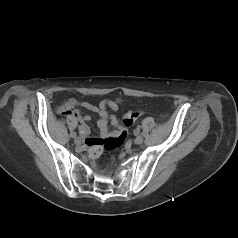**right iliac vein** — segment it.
<instances>
[{"label": "right iliac vein", "mask_w": 238, "mask_h": 238, "mask_svg": "<svg viewBox=\"0 0 238 238\" xmlns=\"http://www.w3.org/2000/svg\"><path fill=\"white\" fill-rule=\"evenodd\" d=\"M74 141H75V144H76V145H81V144H82V140H81L80 137L75 138Z\"/></svg>", "instance_id": "obj_1"}]
</instances>
